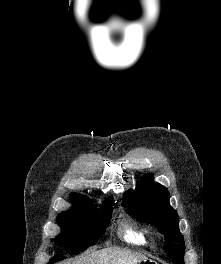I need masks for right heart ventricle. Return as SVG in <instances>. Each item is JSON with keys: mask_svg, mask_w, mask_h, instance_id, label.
<instances>
[{"mask_svg": "<svg viewBox=\"0 0 221 264\" xmlns=\"http://www.w3.org/2000/svg\"><path fill=\"white\" fill-rule=\"evenodd\" d=\"M123 237L133 244L146 245L147 238L143 231L132 226L125 225L122 231Z\"/></svg>", "mask_w": 221, "mask_h": 264, "instance_id": "1", "label": "right heart ventricle"}]
</instances>
